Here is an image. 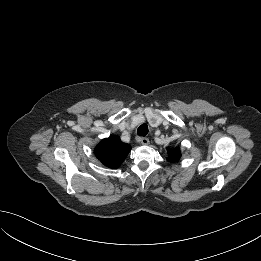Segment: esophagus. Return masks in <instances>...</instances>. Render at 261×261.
<instances>
[{
  "label": "esophagus",
  "instance_id": "obj_1",
  "mask_svg": "<svg viewBox=\"0 0 261 261\" xmlns=\"http://www.w3.org/2000/svg\"><path fill=\"white\" fill-rule=\"evenodd\" d=\"M139 142H140L142 145H148V144H149V139L146 138V137H142V138H139Z\"/></svg>",
  "mask_w": 261,
  "mask_h": 261
}]
</instances>
